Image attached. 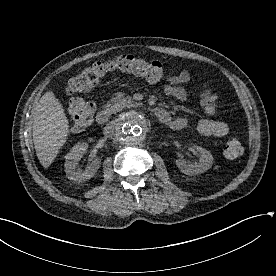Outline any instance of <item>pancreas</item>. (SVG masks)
Masks as SVG:
<instances>
[{
    "mask_svg": "<svg viewBox=\"0 0 276 276\" xmlns=\"http://www.w3.org/2000/svg\"><path fill=\"white\" fill-rule=\"evenodd\" d=\"M135 104L132 101V98L130 96H124L123 93H118L115 95L114 98H112L108 104L107 107L113 112H120L125 107H134Z\"/></svg>",
    "mask_w": 276,
    "mask_h": 276,
    "instance_id": "1",
    "label": "pancreas"
}]
</instances>
